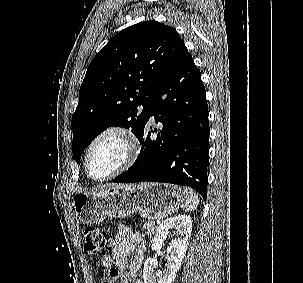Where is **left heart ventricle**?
<instances>
[{
	"label": "left heart ventricle",
	"instance_id": "obj_1",
	"mask_svg": "<svg viewBox=\"0 0 303 283\" xmlns=\"http://www.w3.org/2000/svg\"><path fill=\"white\" fill-rule=\"evenodd\" d=\"M126 146L118 136H107L92 149L88 161L90 174L102 178L113 172L125 159Z\"/></svg>",
	"mask_w": 303,
	"mask_h": 283
}]
</instances>
